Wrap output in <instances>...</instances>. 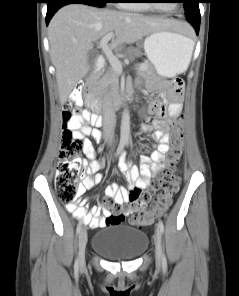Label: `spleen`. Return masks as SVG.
I'll return each instance as SVG.
<instances>
[{
    "label": "spleen",
    "mask_w": 239,
    "mask_h": 296,
    "mask_svg": "<svg viewBox=\"0 0 239 296\" xmlns=\"http://www.w3.org/2000/svg\"><path fill=\"white\" fill-rule=\"evenodd\" d=\"M193 47H194V42L192 41V44L189 47V52H188V57H187V65H186V69L190 63L191 60V56H192V51H193Z\"/></svg>",
    "instance_id": "spleen-1"
}]
</instances>
